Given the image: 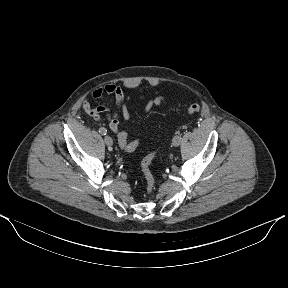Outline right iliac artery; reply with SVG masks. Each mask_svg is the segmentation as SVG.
<instances>
[{
    "label": "right iliac artery",
    "mask_w": 288,
    "mask_h": 288,
    "mask_svg": "<svg viewBox=\"0 0 288 288\" xmlns=\"http://www.w3.org/2000/svg\"><path fill=\"white\" fill-rule=\"evenodd\" d=\"M99 133H100L101 135H106V133H107L106 128L101 127V128L99 129Z\"/></svg>",
    "instance_id": "82829eb1"
}]
</instances>
